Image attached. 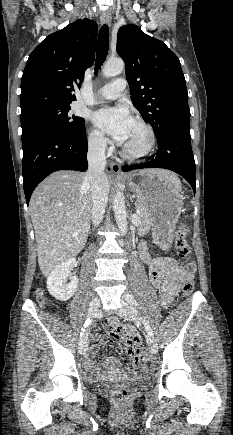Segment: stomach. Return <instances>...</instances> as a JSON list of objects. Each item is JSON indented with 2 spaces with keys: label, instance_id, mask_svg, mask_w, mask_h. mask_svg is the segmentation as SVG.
Wrapping results in <instances>:
<instances>
[{
  "label": "stomach",
  "instance_id": "1",
  "mask_svg": "<svg viewBox=\"0 0 233 435\" xmlns=\"http://www.w3.org/2000/svg\"><path fill=\"white\" fill-rule=\"evenodd\" d=\"M126 180L138 201L146 207L155 237L168 245L183 206L180 186L169 177L151 172H133Z\"/></svg>",
  "mask_w": 233,
  "mask_h": 435
}]
</instances>
